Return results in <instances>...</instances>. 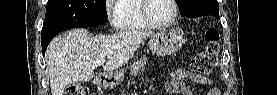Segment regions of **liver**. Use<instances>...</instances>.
Returning <instances> with one entry per match:
<instances>
[{
  "label": "liver",
  "mask_w": 277,
  "mask_h": 95,
  "mask_svg": "<svg viewBox=\"0 0 277 95\" xmlns=\"http://www.w3.org/2000/svg\"><path fill=\"white\" fill-rule=\"evenodd\" d=\"M150 32L124 31L113 35L90 36L74 29L54 38L47 50V69L52 95H63L74 82H87L94 76L96 62L107 58L103 69L114 72L125 65Z\"/></svg>",
  "instance_id": "obj_1"
}]
</instances>
